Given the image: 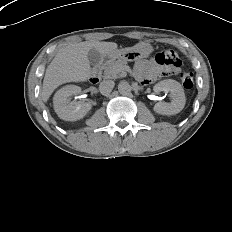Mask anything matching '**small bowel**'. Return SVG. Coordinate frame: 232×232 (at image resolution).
Listing matches in <instances>:
<instances>
[{"label":"small bowel","instance_id":"obj_1","mask_svg":"<svg viewBox=\"0 0 232 232\" xmlns=\"http://www.w3.org/2000/svg\"><path fill=\"white\" fill-rule=\"evenodd\" d=\"M135 74L141 83L146 84L149 80L152 82L174 80L179 77L180 72L173 67L155 66L150 60H140L135 65Z\"/></svg>","mask_w":232,"mask_h":232}]
</instances>
